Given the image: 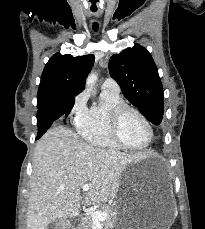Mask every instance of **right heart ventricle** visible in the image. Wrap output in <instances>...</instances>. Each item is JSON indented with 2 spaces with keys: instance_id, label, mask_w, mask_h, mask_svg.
I'll use <instances>...</instances> for the list:
<instances>
[{
  "instance_id": "e07e8e85",
  "label": "right heart ventricle",
  "mask_w": 205,
  "mask_h": 229,
  "mask_svg": "<svg viewBox=\"0 0 205 229\" xmlns=\"http://www.w3.org/2000/svg\"><path fill=\"white\" fill-rule=\"evenodd\" d=\"M123 103L119 94L102 89L100 102L91 106L85 119L77 125L80 136L87 143L98 148H121L111 137L109 114L112 108Z\"/></svg>"
}]
</instances>
